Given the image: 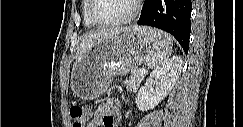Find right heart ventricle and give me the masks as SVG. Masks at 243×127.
Returning <instances> with one entry per match:
<instances>
[{
	"label": "right heart ventricle",
	"instance_id": "e07e8e85",
	"mask_svg": "<svg viewBox=\"0 0 243 127\" xmlns=\"http://www.w3.org/2000/svg\"><path fill=\"white\" fill-rule=\"evenodd\" d=\"M89 1L90 0H84L82 2L81 10H82V15H83V22L87 28H94L96 25H94L92 23V21L90 20V18L88 16V10H89V5H90Z\"/></svg>",
	"mask_w": 243,
	"mask_h": 127
}]
</instances>
